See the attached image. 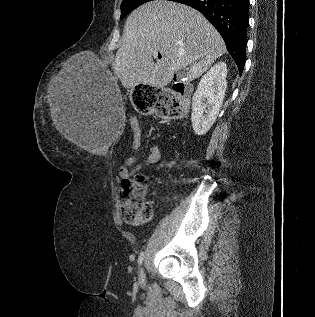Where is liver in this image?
<instances>
[{
  "label": "liver",
  "instance_id": "obj_1",
  "mask_svg": "<svg viewBox=\"0 0 315 317\" xmlns=\"http://www.w3.org/2000/svg\"><path fill=\"white\" fill-rule=\"evenodd\" d=\"M225 52L222 37L197 10L168 0H154L127 18L113 69L125 88L133 89L139 84L162 88L175 74L186 81L195 80ZM158 53L162 58L154 63L152 57ZM68 84L62 80L52 94L50 115L56 129L82 147L80 115ZM116 109L121 113L122 108Z\"/></svg>",
  "mask_w": 315,
  "mask_h": 317
}]
</instances>
